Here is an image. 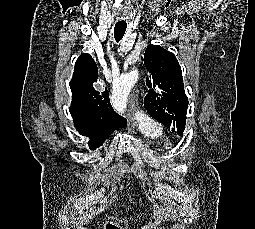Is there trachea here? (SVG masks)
Returning <instances> with one entry per match:
<instances>
[{
	"label": "trachea",
	"instance_id": "3493384b",
	"mask_svg": "<svg viewBox=\"0 0 255 229\" xmlns=\"http://www.w3.org/2000/svg\"><path fill=\"white\" fill-rule=\"evenodd\" d=\"M126 28L127 24L124 22H118L115 24L114 37L117 42H119L123 38Z\"/></svg>",
	"mask_w": 255,
	"mask_h": 229
}]
</instances>
